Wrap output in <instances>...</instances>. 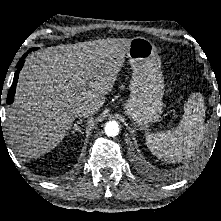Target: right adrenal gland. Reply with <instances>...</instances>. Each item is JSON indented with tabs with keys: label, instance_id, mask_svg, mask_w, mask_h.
<instances>
[{
	"label": "right adrenal gland",
	"instance_id": "right-adrenal-gland-1",
	"mask_svg": "<svg viewBox=\"0 0 221 221\" xmlns=\"http://www.w3.org/2000/svg\"><path fill=\"white\" fill-rule=\"evenodd\" d=\"M79 124H82V120L77 121V122L73 125V127H72L73 130L71 131L72 134H74L75 132L82 133Z\"/></svg>",
	"mask_w": 221,
	"mask_h": 221
}]
</instances>
